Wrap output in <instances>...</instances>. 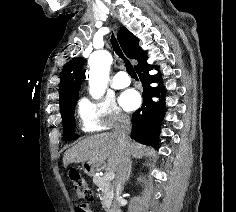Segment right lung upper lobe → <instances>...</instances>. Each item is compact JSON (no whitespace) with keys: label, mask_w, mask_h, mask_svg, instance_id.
Returning a JSON list of instances; mask_svg holds the SVG:
<instances>
[{"label":"right lung upper lobe","mask_w":236,"mask_h":212,"mask_svg":"<svg viewBox=\"0 0 236 212\" xmlns=\"http://www.w3.org/2000/svg\"><path fill=\"white\" fill-rule=\"evenodd\" d=\"M118 41L127 57L136 59L138 65L147 57V52L139 47L138 38L125 27H121L119 30ZM82 66V58L76 57L63 68L60 80V109H63L69 100L78 97Z\"/></svg>","instance_id":"1"}]
</instances>
